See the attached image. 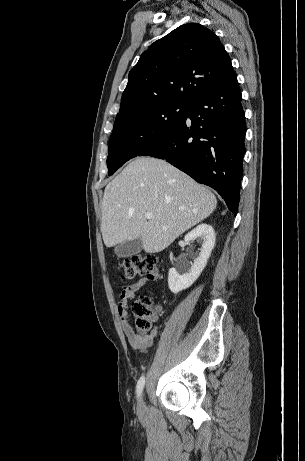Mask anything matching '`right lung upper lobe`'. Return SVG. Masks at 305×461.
Wrapping results in <instances>:
<instances>
[{"instance_id": "obj_1", "label": "right lung upper lobe", "mask_w": 305, "mask_h": 461, "mask_svg": "<svg viewBox=\"0 0 305 461\" xmlns=\"http://www.w3.org/2000/svg\"><path fill=\"white\" fill-rule=\"evenodd\" d=\"M233 74L214 32L198 23L181 25L154 42L131 69L115 122L165 103L189 104Z\"/></svg>"}]
</instances>
